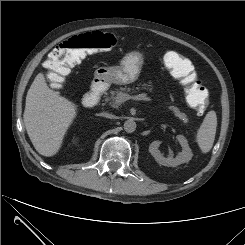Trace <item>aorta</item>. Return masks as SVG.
Segmentation results:
<instances>
[{"mask_svg":"<svg viewBox=\"0 0 245 245\" xmlns=\"http://www.w3.org/2000/svg\"><path fill=\"white\" fill-rule=\"evenodd\" d=\"M124 130L127 133H133L136 130V122L132 119L126 120L124 123Z\"/></svg>","mask_w":245,"mask_h":245,"instance_id":"aorta-1","label":"aorta"}]
</instances>
